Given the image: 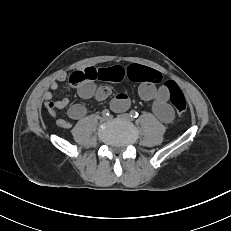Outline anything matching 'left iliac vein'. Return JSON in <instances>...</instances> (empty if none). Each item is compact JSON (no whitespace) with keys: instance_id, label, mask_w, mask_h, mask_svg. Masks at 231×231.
Segmentation results:
<instances>
[{"instance_id":"1","label":"left iliac vein","mask_w":231,"mask_h":231,"mask_svg":"<svg viewBox=\"0 0 231 231\" xmlns=\"http://www.w3.org/2000/svg\"><path fill=\"white\" fill-rule=\"evenodd\" d=\"M119 118L124 119L126 121H131L132 120V117H131L130 114H121V115H119Z\"/></svg>"}]
</instances>
